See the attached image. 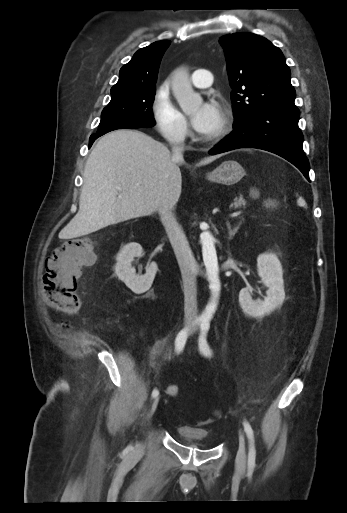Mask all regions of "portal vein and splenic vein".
I'll return each mask as SVG.
<instances>
[{"instance_id":"obj_1","label":"portal vein and splenic vein","mask_w":347,"mask_h":513,"mask_svg":"<svg viewBox=\"0 0 347 513\" xmlns=\"http://www.w3.org/2000/svg\"><path fill=\"white\" fill-rule=\"evenodd\" d=\"M117 189H118L119 191H121V190H122V188H121V187H117ZM229 239H230V238H229Z\"/></svg>"}]
</instances>
